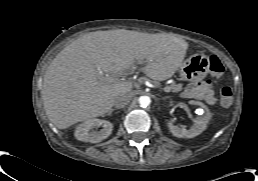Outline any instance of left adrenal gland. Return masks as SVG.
<instances>
[{"mask_svg":"<svg viewBox=\"0 0 258 181\" xmlns=\"http://www.w3.org/2000/svg\"><path fill=\"white\" fill-rule=\"evenodd\" d=\"M169 97H165V98H163V100H166V99H168Z\"/></svg>","mask_w":258,"mask_h":181,"instance_id":"a2214340","label":"left adrenal gland"}]
</instances>
